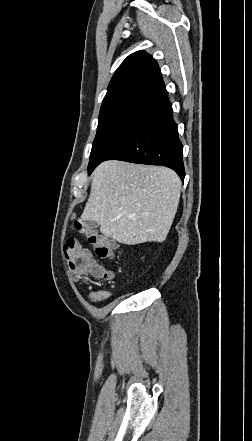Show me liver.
Here are the masks:
<instances>
[{"label": "liver", "mask_w": 252, "mask_h": 441, "mask_svg": "<svg viewBox=\"0 0 252 441\" xmlns=\"http://www.w3.org/2000/svg\"><path fill=\"white\" fill-rule=\"evenodd\" d=\"M181 187L169 168L105 161L92 174L81 220L98 222L102 234L123 244L162 242L177 212Z\"/></svg>", "instance_id": "6515ba94"}]
</instances>
